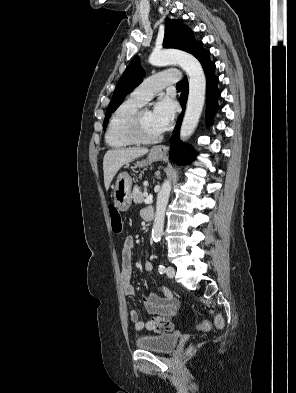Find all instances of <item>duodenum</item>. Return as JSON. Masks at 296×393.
Masks as SVG:
<instances>
[{
  "instance_id": "duodenum-1",
  "label": "duodenum",
  "mask_w": 296,
  "mask_h": 393,
  "mask_svg": "<svg viewBox=\"0 0 296 393\" xmlns=\"http://www.w3.org/2000/svg\"><path fill=\"white\" fill-rule=\"evenodd\" d=\"M154 215H155V209H154L153 207H150V208H148V209L145 211V219H146L147 221L153 220Z\"/></svg>"
}]
</instances>
